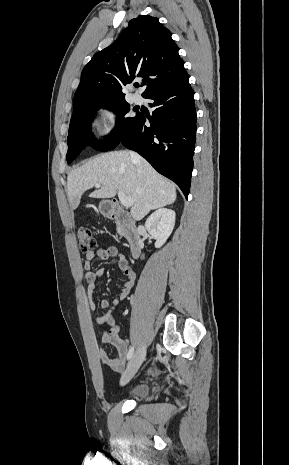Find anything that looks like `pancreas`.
<instances>
[{"label":"pancreas","mask_w":289,"mask_h":465,"mask_svg":"<svg viewBox=\"0 0 289 465\" xmlns=\"http://www.w3.org/2000/svg\"><path fill=\"white\" fill-rule=\"evenodd\" d=\"M117 230H118V233H121V231H120V229H119V228H118Z\"/></svg>","instance_id":"pancreas-1"}]
</instances>
